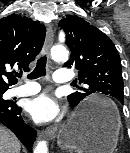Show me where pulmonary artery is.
Returning <instances> with one entry per match:
<instances>
[{
    "mask_svg": "<svg viewBox=\"0 0 130 153\" xmlns=\"http://www.w3.org/2000/svg\"><path fill=\"white\" fill-rule=\"evenodd\" d=\"M74 78V73L70 70H57L54 73V81L56 83H69ZM39 84L29 81L23 86L16 87L8 92L7 96L11 97H25L35 95L40 91Z\"/></svg>",
    "mask_w": 130,
    "mask_h": 153,
    "instance_id": "pulmonary-artery-1",
    "label": "pulmonary artery"
}]
</instances>
